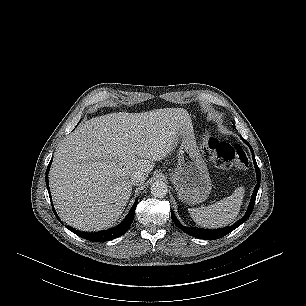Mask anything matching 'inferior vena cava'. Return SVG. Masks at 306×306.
Instances as JSON below:
<instances>
[{
    "label": "inferior vena cava",
    "instance_id": "inferior-vena-cava-1",
    "mask_svg": "<svg viewBox=\"0 0 306 306\" xmlns=\"http://www.w3.org/2000/svg\"><path fill=\"white\" fill-rule=\"evenodd\" d=\"M146 180L145 175L140 171L132 172L129 177V182L132 185H140Z\"/></svg>",
    "mask_w": 306,
    "mask_h": 306
}]
</instances>
